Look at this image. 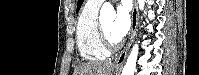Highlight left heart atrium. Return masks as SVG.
<instances>
[{
  "label": "left heart atrium",
  "instance_id": "39dd6f15",
  "mask_svg": "<svg viewBox=\"0 0 199 75\" xmlns=\"http://www.w3.org/2000/svg\"><path fill=\"white\" fill-rule=\"evenodd\" d=\"M131 18L125 2L117 8L116 18L111 26V35L116 41H120L129 31Z\"/></svg>",
  "mask_w": 199,
  "mask_h": 75
}]
</instances>
